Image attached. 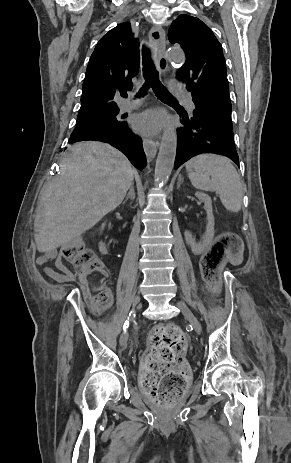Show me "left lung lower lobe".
<instances>
[{"label":"left lung lower lobe","mask_w":291,"mask_h":463,"mask_svg":"<svg viewBox=\"0 0 291 463\" xmlns=\"http://www.w3.org/2000/svg\"><path fill=\"white\" fill-rule=\"evenodd\" d=\"M194 112L193 117L181 114L182 126L177 129L178 140L174 168L177 169L190 158L200 154L226 156L239 166L233 126L201 117Z\"/></svg>","instance_id":"obj_1"}]
</instances>
